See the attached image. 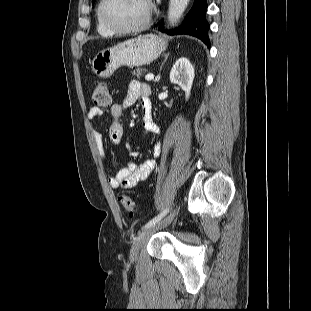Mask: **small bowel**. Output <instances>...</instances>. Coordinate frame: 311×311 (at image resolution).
<instances>
[{"label": "small bowel", "mask_w": 311, "mask_h": 311, "mask_svg": "<svg viewBox=\"0 0 311 311\" xmlns=\"http://www.w3.org/2000/svg\"><path fill=\"white\" fill-rule=\"evenodd\" d=\"M151 88L149 85L137 80H132L128 85V90L122 102L114 103L110 107L111 123L108 129L109 140L113 145L121 143L124 133L121 117L126 108L133 106L138 100L142 106L143 112V127L144 132L148 135L158 136L160 128L156 125L152 118ZM103 114L101 108L92 107L87 113V120L91 126V134L93 141L100 155H104L103 136L94 126L96 120ZM161 147L158 143L153 145L154 157H159ZM155 160L149 159L137 165L129 161L127 165L117 171H111L108 177V185L112 189H131L136 187L140 182L145 180L155 168Z\"/></svg>", "instance_id": "c3829d8e"}]
</instances>
